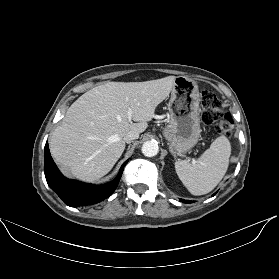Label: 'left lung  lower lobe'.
<instances>
[{"instance_id":"1","label":"left lung lower lobe","mask_w":279,"mask_h":279,"mask_svg":"<svg viewBox=\"0 0 279 279\" xmlns=\"http://www.w3.org/2000/svg\"><path fill=\"white\" fill-rule=\"evenodd\" d=\"M216 194V193H215ZM214 194V195H215ZM180 201L184 202V203H192V201H188V200H183V199H180Z\"/></svg>"}]
</instances>
